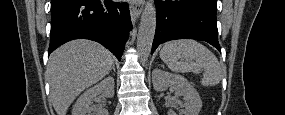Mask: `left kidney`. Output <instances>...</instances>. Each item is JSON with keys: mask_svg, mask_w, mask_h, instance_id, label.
I'll use <instances>...</instances> for the list:
<instances>
[{"mask_svg": "<svg viewBox=\"0 0 285 115\" xmlns=\"http://www.w3.org/2000/svg\"><path fill=\"white\" fill-rule=\"evenodd\" d=\"M152 82L156 91H165L169 86L175 90V94L183 96L185 103L184 115H198L202 108L201 98L196 89L181 75L171 74L169 72L155 69L152 72ZM169 115H175L169 111Z\"/></svg>", "mask_w": 285, "mask_h": 115, "instance_id": "obj_1", "label": "left kidney"}]
</instances>
